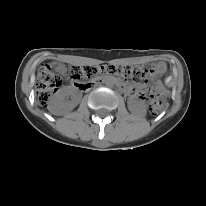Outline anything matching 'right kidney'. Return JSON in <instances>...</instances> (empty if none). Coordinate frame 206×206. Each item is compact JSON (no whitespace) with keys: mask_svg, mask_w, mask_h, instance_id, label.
I'll return each mask as SVG.
<instances>
[{"mask_svg":"<svg viewBox=\"0 0 206 206\" xmlns=\"http://www.w3.org/2000/svg\"><path fill=\"white\" fill-rule=\"evenodd\" d=\"M73 95V99L68 101V97ZM80 96L70 89H62L56 93L48 105L50 112L62 115L68 111H71L78 103Z\"/></svg>","mask_w":206,"mask_h":206,"instance_id":"1","label":"right kidney"}]
</instances>
